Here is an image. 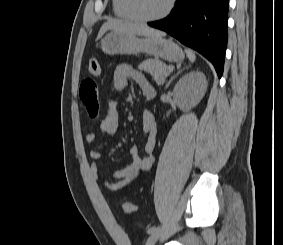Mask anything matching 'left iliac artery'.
Listing matches in <instances>:
<instances>
[{
	"mask_svg": "<svg viewBox=\"0 0 283 245\" xmlns=\"http://www.w3.org/2000/svg\"><path fill=\"white\" fill-rule=\"evenodd\" d=\"M160 229H161L160 226H152V227H150V228L147 230V233H148V234H153V233L157 232V231L160 230Z\"/></svg>",
	"mask_w": 283,
	"mask_h": 245,
	"instance_id": "left-iliac-artery-1",
	"label": "left iliac artery"
}]
</instances>
